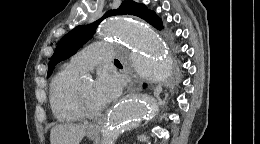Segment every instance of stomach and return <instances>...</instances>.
Wrapping results in <instances>:
<instances>
[{
    "instance_id": "obj_1",
    "label": "stomach",
    "mask_w": 260,
    "mask_h": 144,
    "mask_svg": "<svg viewBox=\"0 0 260 144\" xmlns=\"http://www.w3.org/2000/svg\"><path fill=\"white\" fill-rule=\"evenodd\" d=\"M87 136L90 139H96L99 136V131L98 130L89 129L88 132H87Z\"/></svg>"
}]
</instances>
